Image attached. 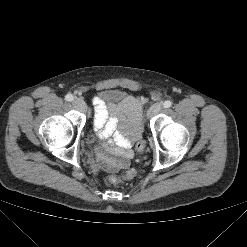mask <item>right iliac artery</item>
Here are the masks:
<instances>
[{
    "label": "right iliac artery",
    "instance_id": "obj_1",
    "mask_svg": "<svg viewBox=\"0 0 247 247\" xmlns=\"http://www.w3.org/2000/svg\"><path fill=\"white\" fill-rule=\"evenodd\" d=\"M73 99H74V97H73L72 94H67V95L65 96V100H66V101L71 102Z\"/></svg>",
    "mask_w": 247,
    "mask_h": 247
}]
</instances>
